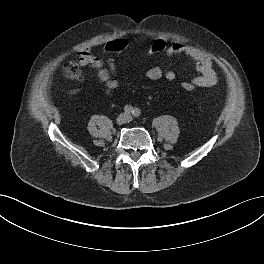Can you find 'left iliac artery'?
Masks as SVG:
<instances>
[{"label": "left iliac artery", "mask_w": 264, "mask_h": 264, "mask_svg": "<svg viewBox=\"0 0 264 264\" xmlns=\"http://www.w3.org/2000/svg\"><path fill=\"white\" fill-rule=\"evenodd\" d=\"M132 114H133L134 117H138V116H140L141 112H140V110L138 108H135L133 110Z\"/></svg>", "instance_id": "1"}]
</instances>
